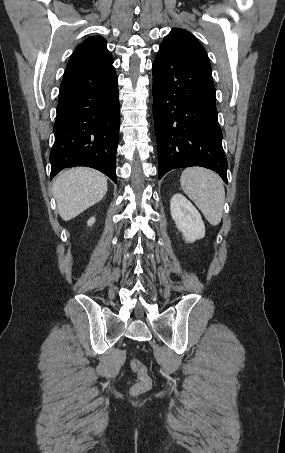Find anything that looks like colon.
<instances>
[{
    "label": "colon",
    "instance_id": "1",
    "mask_svg": "<svg viewBox=\"0 0 285 453\" xmlns=\"http://www.w3.org/2000/svg\"><path fill=\"white\" fill-rule=\"evenodd\" d=\"M131 368L137 375V381L133 384L131 393L133 395H139L149 390L151 387V378L147 367L137 358H133L131 360Z\"/></svg>",
    "mask_w": 285,
    "mask_h": 453
}]
</instances>
